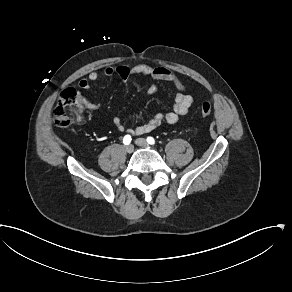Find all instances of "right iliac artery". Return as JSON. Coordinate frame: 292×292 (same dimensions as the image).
I'll return each instance as SVG.
<instances>
[{
	"label": "right iliac artery",
	"instance_id": "right-iliac-artery-1",
	"mask_svg": "<svg viewBox=\"0 0 292 292\" xmlns=\"http://www.w3.org/2000/svg\"><path fill=\"white\" fill-rule=\"evenodd\" d=\"M131 136L130 135H125L124 136V138H123V143L125 144V145H129L130 144V142H131Z\"/></svg>",
	"mask_w": 292,
	"mask_h": 292
}]
</instances>
